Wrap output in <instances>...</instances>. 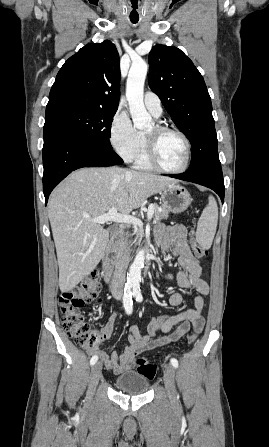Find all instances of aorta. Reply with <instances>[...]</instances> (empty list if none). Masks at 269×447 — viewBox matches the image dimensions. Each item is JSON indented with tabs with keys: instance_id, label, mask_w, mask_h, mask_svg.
I'll return each mask as SVG.
<instances>
[{
	"instance_id": "1",
	"label": "aorta",
	"mask_w": 269,
	"mask_h": 447,
	"mask_svg": "<svg viewBox=\"0 0 269 447\" xmlns=\"http://www.w3.org/2000/svg\"><path fill=\"white\" fill-rule=\"evenodd\" d=\"M148 72V64L145 60H133L129 70L126 84V98L129 104V110L137 130H150L152 128V118L144 106V82ZM145 261L144 249H139L132 265L129 267L127 283L131 285H140L141 269Z\"/></svg>"
}]
</instances>
